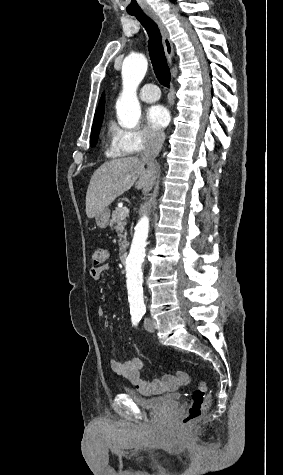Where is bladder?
Here are the masks:
<instances>
[{
    "instance_id": "bladder-1",
    "label": "bladder",
    "mask_w": 283,
    "mask_h": 475,
    "mask_svg": "<svg viewBox=\"0 0 283 475\" xmlns=\"http://www.w3.org/2000/svg\"><path fill=\"white\" fill-rule=\"evenodd\" d=\"M124 394L130 400L139 405L141 408L146 409L147 411H156L163 406H178L180 403L181 396L174 395L173 393H168L162 397H142L139 395L138 391L133 388H125Z\"/></svg>"
}]
</instances>
